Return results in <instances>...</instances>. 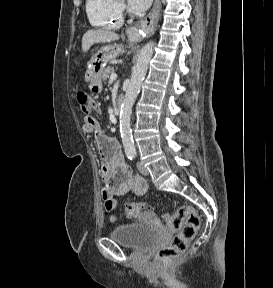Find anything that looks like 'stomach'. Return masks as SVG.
<instances>
[{
	"instance_id": "0dacf381",
	"label": "stomach",
	"mask_w": 273,
	"mask_h": 288,
	"mask_svg": "<svg viewBox=\"0 0 273 288\" xmlns=\"http://www.w3.org/2000/svg\"><path fill=\"white\" fill-rule=\"evenodd\" d=\"M123 52V46L119 44H108L100 48L88 62L86 81H90V90L100 93L102 90L101 76L108 62L115 59Z\"/></svg>"
}]
</instances>
